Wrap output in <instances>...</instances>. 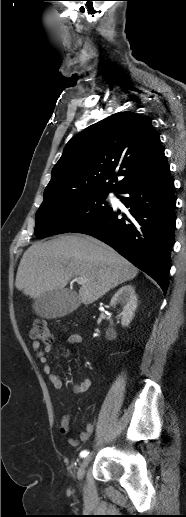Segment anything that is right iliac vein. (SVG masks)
Here are the masks:
<instances>
[{
  "label": "right iliac vein",
  "instance_id": "obj_1",
  "mask_svg": "<svg viewBox=\"0 0 186 517\" xmlns=\"http://www.w3.org/2000/svg\"><path fill=\"white\" fill-rule=\"evenodd\" d=\"M91 460V457L90 456H87L83 459L82 463H81V466H80V469H79V478H82L84 472H85V469L86 467L88 466L89 462Z\"/></svg>",
  "mask_w": 186,
  "mask_h": 517
}]
</instances>
